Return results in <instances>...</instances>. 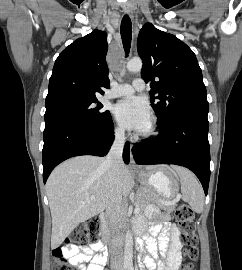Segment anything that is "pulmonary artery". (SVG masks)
Wrapping results in <instances>:
<instances>
[{
	"mask_svg": "<svg viewBox=\"0 0 242 270\" xmlns=\"http://www.w3.org/2000/svg\"><path fill=\"white\" fill-rule=\"evenodd\" d=\"M146 84L143 79L137 78L132 84H123L115 87L114 89L108 91L105 95L106 98H115L121 96H128L133 94L135 91L144 90Z\"/></svg>",
	"mask_w": 242,
	"mask_h": 270,
	"instance_id": "obj_1",
	"label": "pulmonary artery"
}]
</instances>
